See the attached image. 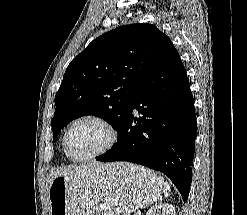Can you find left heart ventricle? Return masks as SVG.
I'll use <instances>...</instances> for the list:
<instances>
[{"instance_id": "obj_1", "label": "left heart ventricle", "mask_w": 247, "mask_h": 215, "mask_svg": "<svg viewBox=\"0 0 247 215\" xmlns=\"http://www.w3.org/2000/svg\"><path fill=\"white\" fill-rule=\"evenodd\" d=\"M107 138L102 126L92 121H82L68 135V151L74 157H84L101 149Z\"/></svg>"}]
</instances>
